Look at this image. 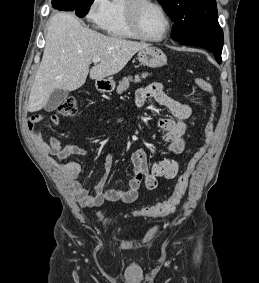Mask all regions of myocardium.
Masks as SVG:
<instances>
[{"instance_id": "obj_1", "label": "myocardium", "mask_w": 259, "mask_h": 283, "mask_svg": "<svg viewBox=\"0 0 259 283\" xmlns=\"http://www.w3.org/2000/svg\"><path fill=\"white\" fill-rule=\"evenodd\" d=\"M153 6L161 11L164 15L167 23V29L164 35L160 38H152L147 36L140 24V14L144 7ZM126 13L129 22V26L132 32L140 39L148 42H162L169 36L172 29V19L166 10V8L156 0H127L126 3Z\"/></svg>"}]
</instances>
